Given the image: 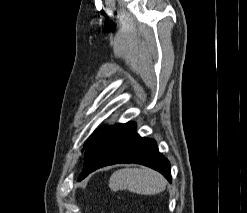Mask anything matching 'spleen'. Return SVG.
I'll use <instances>...</instances> for the list:
<instances>
[{
    "label": "spleen",
    "instance_id": "spleen-1",
    "mask_svg": "<svg viewBox=\"0 0 247 213\" xmlns=\"http://www.w3.org/2000/svg\"><path fill=\"white\" fill-rule=\"evenodd\" d=\"M109 188L114 192L127 189L136 194L152 195L165 190L166 180L149 168H125L111 175Z\"/></svg>",
    "mask_w": 247,
    "mask_h": 213
}]
</instances>
